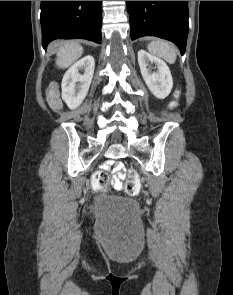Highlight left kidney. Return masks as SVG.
Wrapping results in <instances>:
<instances>
[{
	"instance_id": "left-kidney-1",
	"label": "left kidney",
	"mask_w": 233,
	"mask_h": 295,
	"mask_svg": "<svg viewBox=\"0 0 233 295\" xmlns=\"http://www.w3.org/2000/svg\"><path fill=\"white\" fill-rule=\"evenodd\" d=\"M138 63L142 77L152 94L159 99L166 98L173 87L172 75L167 64L145 50L138 51ZM151 64L157 67L156 72L151 71Z\"/></svg>"
}]
</instances>
